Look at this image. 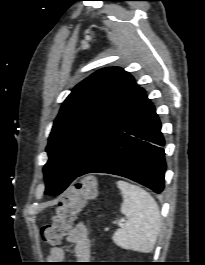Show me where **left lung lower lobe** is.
<instances>
[{
	"instance_id": "1",
	"label": "left lung lower lobe",
	"mask_w": 205,
	"mask_h": 265,
	"mask_svg": "<svg viewBox=\"0 0 205 265\" xmlns=\"http://www.w3.org/2000/svg\"><path fill=\"white\" fill-rule=\"evenodd\" d=\"M164 138L155 107L144 95L134 112L77 174L109 173L129 178L156 193L164 188Z\"/></svg>"
}]
</instances>
